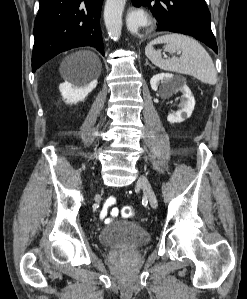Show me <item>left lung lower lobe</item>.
I'll use <instances>...</instances> for the list:
<instances>
[{"label": "left lung lower lobe", "mask_w": 247, "mask_h": 299, "mask_svg": "<svg viewBox=\"0 0 247 299\" xmlns=\"http://www.w3.org/2000/svg\"><path fill=\"white\" fill-rule=\"evenodd\" d=\"M135 7L149 6L156 17L157 31L193 36L218 52L204 0H132Z\"/></svg>", "instance_id": "0a47b994"}]
</instances>
